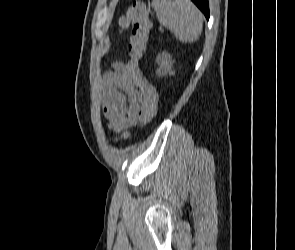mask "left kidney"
Masks as SVG:
<instances>
[{"label": "left kidney", "instance_id": "1", "mask_svg": "<svg viewBox=\"0 0 295 250\" xmlns=\"http://www.w3.org/2000/svg\"><path fill=\"white\" fill-rule=\"evenodd\" d=\"M156 62L159 65V70L164 72L165 74L169 73L170 75L173 74L172 72V58L170 55L162 53L157 56Z\"/></svg>", "mask_w": 295, "mask_h": 250}]
</instances>
